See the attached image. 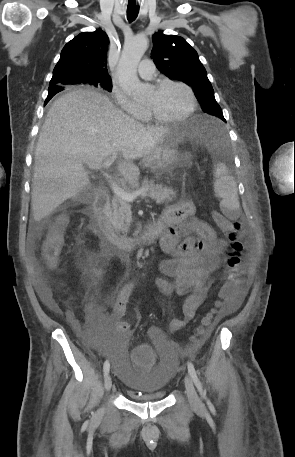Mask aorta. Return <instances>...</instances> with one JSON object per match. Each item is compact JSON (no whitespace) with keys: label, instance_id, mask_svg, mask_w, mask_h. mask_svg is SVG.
<instances>
[{"label":"aorta","instance_id":"obj_1","mask_svg":"<svg viewBox=\"0 0 295 457\" xmlns=\"http://www.w3.org/2000/svg\"><path fill=\"white\" fill-rule=\"evenodd\" d=\"M147 48L148 40L145 36H135L127 40L118 63L119 85L125 93L136 99L146 93L145 86L137 76V66Z\"/></svg>","mask_w":295,"mask_h":457}]
</instances>
